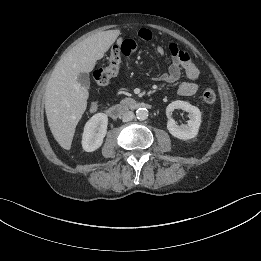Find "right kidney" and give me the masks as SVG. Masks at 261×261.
<instances>
[{
    "label": "right kidney",
    "mask_w": 261,
    "mask_h": 261,
    "mask_svg": "<svg viewBox=\"0 0 261 261\" xmlns=\"http://www.w3.org/2000/svg\"><path fill=\"white\" fill-rule=\"evenodd\" d=\"M107 125L108 116L105 113H97L86 122L82 134V147L86 152H93L102 145Z\"/></svg>",
    "instance_id": "right-kidney-1"
}]
</instances>
